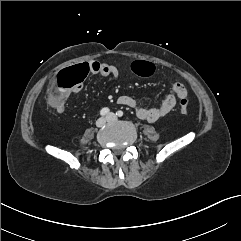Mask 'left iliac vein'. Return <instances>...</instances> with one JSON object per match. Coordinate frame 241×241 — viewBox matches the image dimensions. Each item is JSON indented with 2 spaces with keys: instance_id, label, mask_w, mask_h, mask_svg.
I'll list each match as a JSON object with an SVG mask.
<instances>
[{
  "instance_id": "1",
  "label": "left iliac vein",
  "mask_w": 241,
  "mask_h": 241,
  "mask_svg": "<svg viewBox=\"0 0 241 241\" xmlns=\"http://www.w3.org/2000/svg\"><path fill=\"white\" fill-rule=\"evenodd\" d=\"M107 120H108L109 122L115 121V120H116V115H115L114 113H109V114L107 115Z\"/></svg>"
}]
</instances>
